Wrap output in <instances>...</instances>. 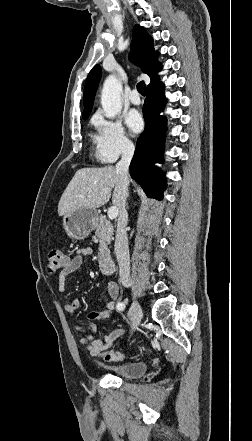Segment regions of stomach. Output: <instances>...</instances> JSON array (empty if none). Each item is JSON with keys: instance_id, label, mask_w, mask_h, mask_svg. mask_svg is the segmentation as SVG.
I'll return each instance as SVG.
<instances>
[{"instance_id": "1", "label": "stomach", "mask_w": 252, "mask_h": 441, "mask_svg": "<svg viewBox=\"0 0 252 441\" xmlns=\"http://www.w3.org/2000/svg\"><path fill=\"white\" fill-rule=\"evenodd\" d=\"M98 213L93 209H77L63 217V226L71 238L82 240L95 228Z\"/></svg>"}]
</instances>
